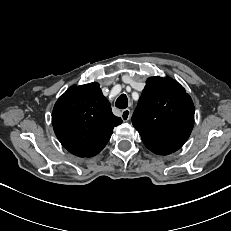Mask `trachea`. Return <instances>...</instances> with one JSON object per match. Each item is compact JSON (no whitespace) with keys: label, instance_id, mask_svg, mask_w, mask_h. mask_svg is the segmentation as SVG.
Listing matches in <instances>:
<instances>
[{"label":"trachea","instance_id":"obj_1","mask_svg":"<svg viewBox=\"0 0 231 231\" xmlns=\"http://www.w3.org/2000/svg\"><path fill=\"white\" fill-rule=\"evenodd\" d=\"M127 104H128L127 96L125 94H121L117 98L115 106L119 109H125L127 108Z\"/></svg>","mask_w":231,"mask_h":231}]
</instances>
